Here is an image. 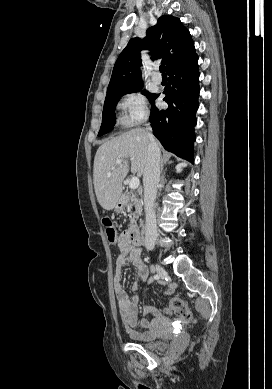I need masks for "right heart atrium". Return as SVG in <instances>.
Masks as SVG:
<instances>
[{
  "instance_id": "d8ad5b80",
  "label": "right heart atrium",
  "mask_w": 272,
  "mask_h": 389,
  "mask_svg": "<svg viewBox=\"0 0 272 389\" xmlns=\"http://www.w3.org/2000/svg\"><path fill=\"white\" fill-rule=\"evenodd\" d=\"M120 120L127 126H135L148 117V107L145 96L139 91L128 92L118 103Z\"/></svg>"
}]
</instances>
